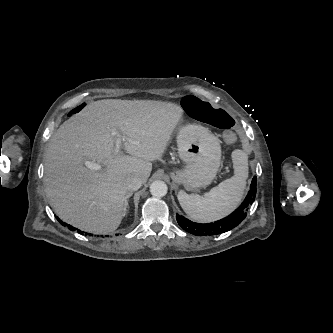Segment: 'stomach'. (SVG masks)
<instances>
[{"label": "stomach", "mask_w": 333, "mask_h": 333, "mask_svg": "<svg viewBox=\"0 0 333 333\" xmlns=\"http://www.w3.org/2000/svg\"><path fill=\"white\" fill-rule=\"evenodd\" d=\"M178 153L186 163L182 170L170 173L172 180L187 190L208 186L221 163V147L217 136L207 128L187 124L177 133Z\"/></svg>", "instance_id": "1"}]
</instances>
